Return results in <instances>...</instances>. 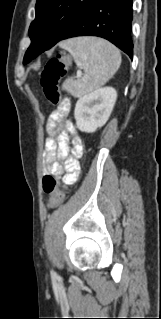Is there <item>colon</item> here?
<instances>
[{
    "mask_svg": "<svg viewBox=\"0 0 161 319\" xmlns=\"http://www.w3.org/2000/svg\"><path fill=\"white\" fill-rule=\"evenodd\" d=\"M67 58L58 55L51 58L40 73V85L47 100L61 107L64 114L69 113L70 106L61 99L58 84L65 75ZM44 193L50 195L49 206L57 208L62 204L64 194L59 190L58 181L52 176H45L42 182Z\"/></svg>",
    "mask_w": 161,
    "mask_h": 319,
    "instance_id": "5ec220e1",
    "label": "colon"
}]
</instances>
